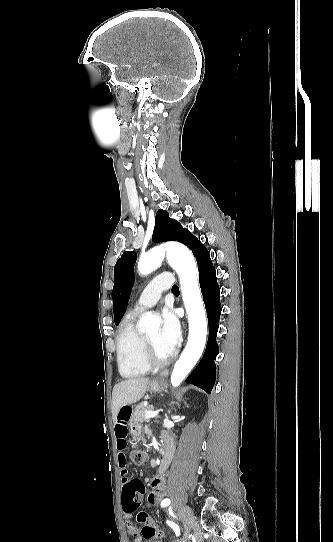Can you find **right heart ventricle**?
Masks as SVG:
<instances>
[{
  "instance_id": "1",
  "label": "right heart ventricle",
  "mask_w": 333,
  "mask_h": 542,
  "mask_svg": "<svg viewBox=\"0 0 333 542\" xmlns=\"http://www.w3.org/2000/svg\"><path fill=\"white\" fill-rule=\"evenodd\" d=\"M137 317L131 312L130 320L120 327L115 338L119 372L129 379L141 377L150 369L141 357L143 336L137 329Z\"/></svg>"
}]
</instances>
